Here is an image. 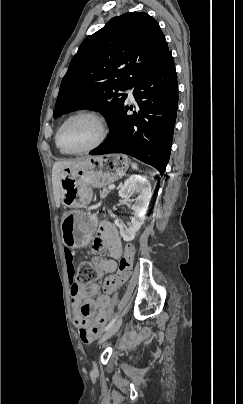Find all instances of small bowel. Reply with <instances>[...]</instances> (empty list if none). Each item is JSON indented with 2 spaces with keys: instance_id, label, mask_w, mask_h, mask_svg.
Returning a JSON list of instances; mask_svg holds the SVG:
<instances>
[{
  "instance_id": "obj_1",
  "label": "small bowel",
  "mask_w": 243,
  "mask_h": 404,
  "mask_svg": "<svg viewBox=\"0 0 243 404\" xmlns=\"http://www.w3.org/2000/svg\"><path fill=\"white\" fill-rule=\"evenodd\" d=\"M106 249L108 258L102 260L98 256L92 258L96 269L102 273H111L116 270L117 262L122 256V243L117 228L110 222H103L99 232L93 240V250ZM68 275L71 279V312L74 324L79 328V337L84 343L92 342L101 333L109 318L108 307L110 296L98 294L96 284L86 288L74 280L73 254L66 249Z\"/></svg>"
}]
</instances>
